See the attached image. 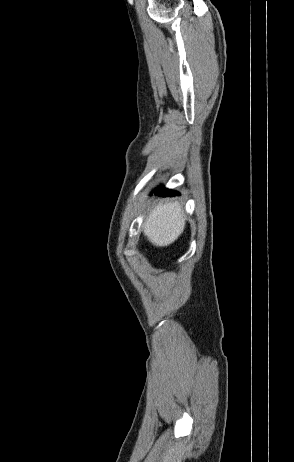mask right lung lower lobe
Masks as SVG:
<instances>
[{
	"mask_svg": "<svg viewBox=\"0 0 294 462\" xmlns=\"http://www.w3.org/2000/svg\"><path fill=\"white\" fill-rule=\"evenodd\" d=\"M155 195H159V196H175V195H179V194H177L176 192L171 191V190L156 189L155 190Z\"/></svg>",
	"mask_w": 294,
	"mask_h": 462,
	"instance_id": "obj_1",
	"label": "right lung lower lobe"
}]
</instances>
